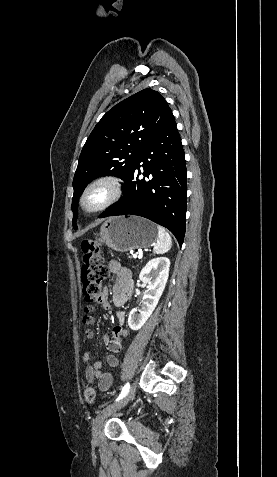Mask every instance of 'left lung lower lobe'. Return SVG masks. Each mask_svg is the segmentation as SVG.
<instances>
[{"label":"left lung lower lobe","mask_w":277,"mask_h":477,"mask_svg":"<svg viewBox=\"0 0 277 477\" xmlns=\"http://www.w3.org/2000/svg\"><path fill=\"white\" fill-rule=\"evenodd\" d=\"M141 171L146 178L139 179ZM124 187L123 200L100 217L130 214L148 218L168 228L181 246L186 227L187 178L174 118L141 150Z\"/></svg>","instance_id":"1"}]
</instances>
